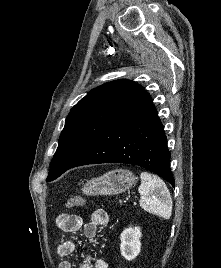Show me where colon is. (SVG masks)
<instances>
[{
    "label": "colon",
    "instance_id": "5ec220e1",
    "mask_svg": "<svg viewBox=\"0 0 221 268\" xmlns=\"http://www.w3.org/2000/svg\"><path fill=\"white\" fill-rule=\"evenodd\" d=\"M85 203H86L85 198L81 196H74V197L69 198L66 201V206L69 208H72V207L82 206Z\"/></svg>",
    "mask_w": 221,
    "mask_h": 268
}]
</instances>
